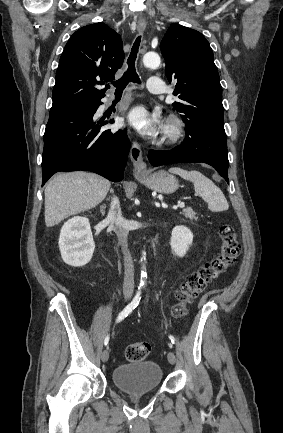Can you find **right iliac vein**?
<instances>
[{
    "label": "right iliac vein",
    "mask_w": 283,
    "mask_h": 433,
    "mask_svg": "<svg viewBox=\"0 0 283 433\" xmlns=\"http://www.w3.org/2000/svg\"><path fill=\"white\" fill-rule=\"evenodd\" d=\"M101 359L103 362H107L109 359V353L108 351L105 349L102 353H101Z\"/></svg>",
    "instance_id": "1"
}]
</instances>
